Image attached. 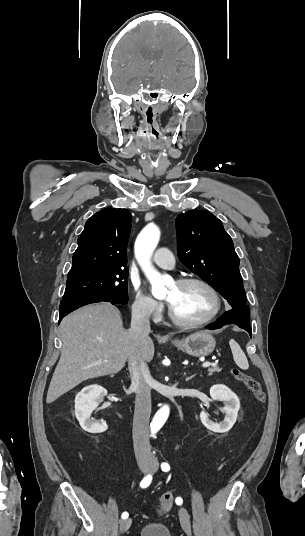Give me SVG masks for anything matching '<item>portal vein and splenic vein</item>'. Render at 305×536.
Here are the masks:
<instances>
[{"mask_svg":"<svg viewBox=\"0 0 305 536\" xmlns=\"http://www.w3.org/2000/svg\"><path fill=\"white\" fill-rule=\"evenodd\" d=\"M103 362H108V360H103ZM97 364H102V362H97ZM209 366H212L210 362H204V364H202V368H209Z\"/></svg>","mask_w":305,"mask_h":536,"instance_id":"portal-vein-and-splenic-vein-1","label":"portal vein and splenic vein"}]
</instances>
